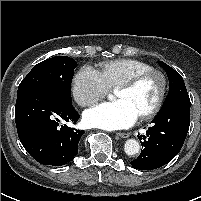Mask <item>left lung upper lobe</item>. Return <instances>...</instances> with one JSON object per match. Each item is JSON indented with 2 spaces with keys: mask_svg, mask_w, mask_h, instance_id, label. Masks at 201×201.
<instances>
[{
  "mask_svg": "<svg viewBox=\"0 0 201 201\" xmlns=\"http://www.w3.org/2000/svg\"><path fill=\"white\" fill-rule=\"evenodd\" d=\"M158 63L166 71L169 79V92L163 106L175 101L190 100L181 75L166 63L162 61Z\"/></svg>",
  "mask_w": 201,
  "mask_h": 201,
  "instance_id": "left-lung-upper-lobe-1",
  "label": "left lung upper lobe"
}]
</instances>
